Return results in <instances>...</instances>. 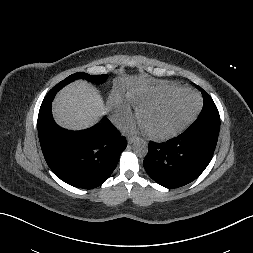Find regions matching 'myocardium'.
<instances>
[{
    "instance_id": "obj_1",
    "label": "myocardium",
    "mask_w": 253,
    "mask_h": 253,
    "mask_svg": "<svg viewBox=\"0 0 253 253\" xmlns=\"http://www.w3.org/2000/svg\"><path fill=\"white\" fill-rule=\"evenodd\" d=\"M184 93L191 94L195 97L196 103H195V106L192 109V111L185 117V119L179 125H177L174 129H172L169 132L154 133V132L147 131V133L151 139L156 140V141H166V140L172 139V138L176 137L177 135H179L180 133H182L197 117V115L200 111V108H201V99H200L199 95L193 89L187 88V87H180V88L168 93L167 95H165L157 100H154L152 102H149V103L141 106L138 109L137 117L141 121L143 115L147 111L158 108V107L168 103L170 100L177 97L178 95L184 94Z\"/></svg>"
}]
</instances>
